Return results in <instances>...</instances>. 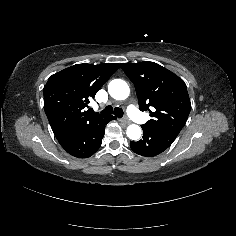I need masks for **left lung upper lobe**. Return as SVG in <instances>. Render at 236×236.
Returning <instances> with one entry per match:
<instances>
[{
    "label": "left lung upper lobe",
    "mask_w": 236,
    "mask_h": 236,
    "mask_svg": "<svg viewBox=\"0 0 236 236\" xmlns=\"http://www.w3.org/2000/svg\"><path fill=\"white\" fill-rule=\"evenodd\" d=\"M120 66L135 86L139 109L150 111L152 119L144 125L179 133L191 110L185 82L154 62L121 63Z\"/></svg>",
    "instance_id": "obj_1"
}]
</instances>
